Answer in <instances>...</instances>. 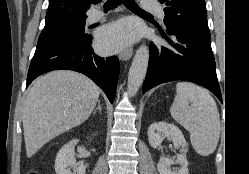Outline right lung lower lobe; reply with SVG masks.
<instances>
[{
  "label": "right lung lower lobe",
  "instance_id": "obj_1",
  "mask_svg": "<svg viewBox=\"0 0 249 174\" xmlns=\"http://www.w3.org/2000/svg\"><path fill=\"white\" fill-rule=\"evenodd\" d=\"M92 36L85 39H65L44 47H37L32 58L27 85L39 75L57 69L81 72L103 89L112 103L119 77L116 56L102 58L91 47Z\"/></svg>",
  "mask_w": 249,
  "mask_h": 174
}]
</instances>
